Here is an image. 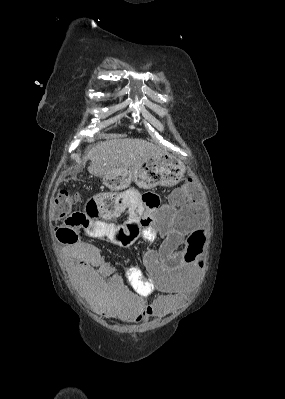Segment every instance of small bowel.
Masks as SVG:
<instances>
[{"mask_svg": "<svg viewBox=\"0 0 285 399\" xmlns=\"http://www.w3.org/2000/svg\"><path fill=\"white\" fill-rule=\"evenodd\" d=\"M124 195L123 204L104 205L101 196L83 203L86 227L91 235L102 237L116 224L110 222L123 209L132 208V199L139 201L140 194L129 190ZM186 197H178L174 203L177 207L185 204ZM159 209V205L144 207L147 218H151ZM163 221L151 222L144 229L142 238L153 242L156 235L163 233L168 240L160 250L149 249L143 254V266L149 273L145 278L140 269L132 267L128 270V278L136 287L130 288L117 270L106 261L99 250L87 241L68 244L62 248L63 257L70 276L78 286L89 304L105 318H119L125 321H140L150 317H158L181 307L194 288L199 272L198 249L201 231L188 230L186 224ZM74 225V224H73ZM84 226V225H80ZM62 234L68 235L67 226L60 225ZM78 232V228H76ZM176 246H183L181 256H175L176 264L167 266L164 253ZM156 293L154 300L146 302L147 294Z\"/></svg>", "mask_w": 285, "mask_h": 399, "instance_id": "small-bowel-1", "label": "small bowel"}]
</instances>
